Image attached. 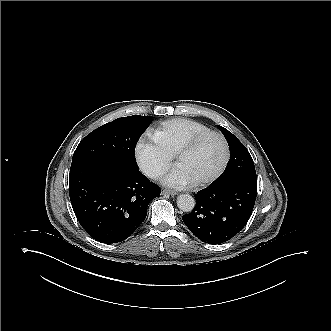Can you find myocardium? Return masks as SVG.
<instances>
[{"label":"myocardium","mask_w":331,"mask_h":331,"mask_svg":"<svg viewBox=\"0 0 331 331\" xmlns=\"http://www.w3.org/2000/svg\"><path fill=\"white\" fill-rule=\"evenodd\" d=\"M210 136H215L220 140V142L222 144V148H223V158H222V161H221L219 167L216 169V171L212 175H210L209 177L203 178V179L194 180L193 184L196 185V186H203V185H207L209 183H212L224 172V170H225V168L228 164V160H229V149H228V144L226 142V139L218 131H213V130L212 131H206V132H203V133L193 137L189 141H187L179 149V151L176 155L175 165L180 166L179 164H180L183 156L187 152L192 150L198 143H200L201 141H203L204 139H206L207 137H210Z\"/></svg>","instance_id":"f54148a6"}]
</instances>
